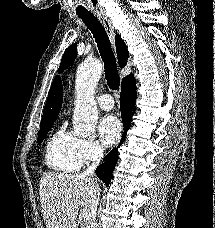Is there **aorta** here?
<instances>
[{
    "mask_svg": "<svg viewBox=\"0 0 215 228\" xmlns=\"http://www.w3.org/2000/svg\"><path fill=\"white\" fill-rule=\"evenodd\" d=\"M99 60H85L76 74L77 102L73 112V134L92 136L98 120L97 106L94 102V88L102 74Z\"/></svg>",
    "mask_w": 215,
    "mask_h": 228,
    "instance_id": "aorta-1",
    "label": "aorta"
}]
</instances>
